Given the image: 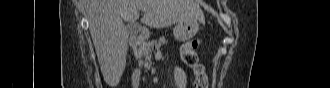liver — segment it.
Here are the masks:
<instances>
[{
    "mask_svg": "<svg viewBox=\"0 0 330 88\" xmlns=\"http://www.w3.org/2000/svg\"><path fill=\"white\" fill-rule=\"evenodd\" d=\"M89 30L104 80L117 86L126 66L129 30L124 21L164 28L190 20L204 21L195 0H86Z\"/></svg>",
    "mask_w": 330,
    "mask_h": 88,
    "instance_id": "liver-1",
    "label": "liver"
}]
</instances>
